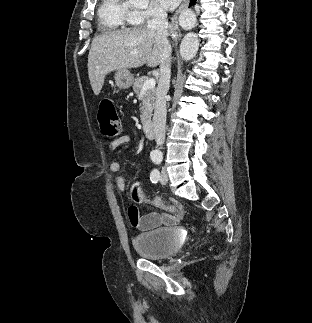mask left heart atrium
<instances>
[{
  "label": "left heart atrium",
  "mask_w": 312,
  "mask_h": 323,
  "mask_svg": "<svg viewBox=\"0 0 312 323\" xmlns=\"http://www.w3.org/2000/svg\"><path fill=\"white\" fill-rule=\"evenodd\" d=\"M157 3L163 8V12H176V8L179 4H183V0H157Z\"/></svg>",
  "instance_id": "obj_1"
}]
</instances>
